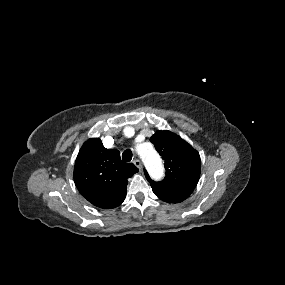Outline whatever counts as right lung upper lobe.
I'll return each instance as SVG.
<instances>
[{
	"instance_id": "cb5924a9",
	"label": "right lung upper lobe",
	"mask_w": 285,
	"mask_h": 285,
	"mask_svg": "<svg viewBox=\"0 0 285 285\" xmlns=\"http://www.w3.org/2000/svg\"><path fill=\"white\" fill-rule=\"evenodd\" d=\"M138 169L124 163L118 150L106 149L99 138L88 139L74 166V182L81 195L96 207L112 209L126 197L127 179Z\"/></svg>"
}]
</instances>
